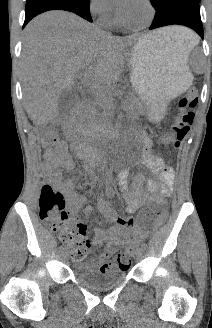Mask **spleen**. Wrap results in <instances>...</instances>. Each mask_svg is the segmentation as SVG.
<instances>
[{"label":"spleen","mask_w":212,"mask_h":328,"mask_svg":"<svg viewBox=\"0 0 212 328\" xmlns=\"http://www.w3.org/2000/svg\"><path fill=\"white\" fill-rule=\"evenodd\" d=\"M184 29H185L186 33H185V37L183 39L182 51L184 52V55L187 59L189 53L198 44L199 39L196 36V34L193 33L191 30H188L186 28H184Z\"/></svg>","instance_id":"3e777b00"}]
</instances>
